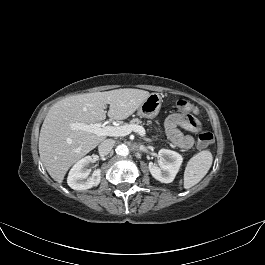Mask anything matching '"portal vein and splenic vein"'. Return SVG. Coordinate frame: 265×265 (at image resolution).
Instances as JSON below:
<instances>
[{
    "mask_svg": "<svg viewBox=\"0 0 265 265\" xmlns=\"http://www.w3.org/2000/svg\"><path fill=\"white\" fill-rule=\"evenodd\" d=\"M70 127L74 130L86 131L97 136L119 137L129 135L131 132H137L141 137L145 136V129L140 125L103 126L101 123H70Z\"/></svg>",
    "mask_w": 265,
    "mask_h": 265,
    "instance_id": "obj_1",
    "label": "portal vein and splenic vein"
}]
</instances>
